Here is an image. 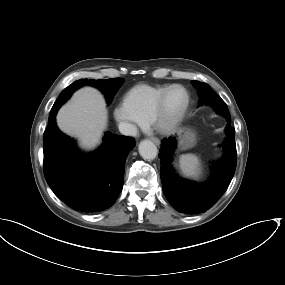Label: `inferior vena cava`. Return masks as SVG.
<instances>
[{
	"label": "inferior vena cava",
	"mask_w": 285,
	"mask_h": 285,
	"mask_svg": "<svg viewBox=\"0 0 285 285\" xmlns=\"http://www.w3.org/2000/svg\"><path fill=\"white\" fill-rule=\"evenodd\" d=\"M119 131L126 136H136L137 127L134 124L128 122H120L118 125Z\"/></svg>",
	"instance_id": "inferior-vena-cava-1"
}]
</instances>
